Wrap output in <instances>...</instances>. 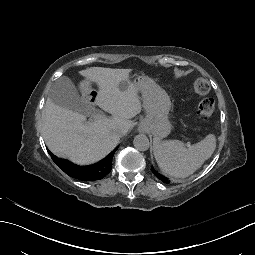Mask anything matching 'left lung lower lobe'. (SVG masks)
Here are the masks:
<instances>
[{"mask_svg":"<svg viewBox=\"0 0 255 255\" xmlns=\"http://www.w3.org/2000/svg\"><path fill=\"white\" fill-rule=\"evenodd\" d=\"M149 171H151V175L155 177L159 182L163 183L165 186H169L173 184V179L167 178V176H162L160 172L157 171L154 166H149Z\"/></svg>","mask_w":255,"mask_h":255,"instance_id":"left-lung-lower-lobe-1","label":"left lung lower lobe"}]
</instances>
